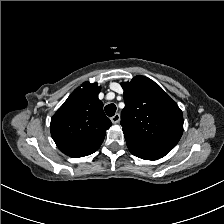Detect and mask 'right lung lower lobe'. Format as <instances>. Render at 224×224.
Masks as SVG:
<instances>
[{
	"mask_svg": "<svg viewBox=\"0 0 224 224\" xmlns=\"http://www.w3.org/2000/svg\"><path fill=\"white\" fill-rule=\"evenodd\" d=\"M55 143L64 154L70 157H83L78 151L77 146L74 145L73 143L67 141H58Z\"/></svg>",
	"mask_w": 224,
	"mask_h": 224,
	"instance_id": "right-lung-lower-lobe-1",
	"label": "right lung lower lobe"
}]
</instances>
